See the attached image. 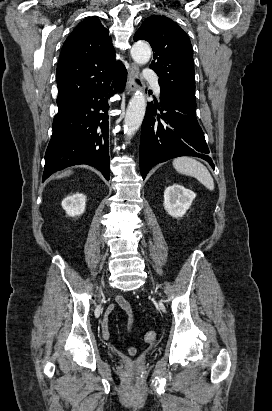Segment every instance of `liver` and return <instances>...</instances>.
I'll return each instance as SVG.
<instances>
[{
    "instance_id": "6515ba94",
    "label": "liver",
    "mask_w": 272,
    "mask_h": 411,
    "mask_svg": "<svg viewBox=\"0 0 272 411\" xmlns=\"http://www.w3.org/2000/svg\"><path fill=\"white\" fill-rule=\"evenodd\" d=\"M71 173H72V171H71V170H68V171L64 172L63 174H61V175L59 176V178L65 177V176H69Z\"/></svg>"
}]
</instances>
